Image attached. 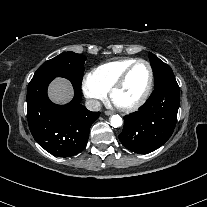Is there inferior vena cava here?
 <instances>
[{"label": "inferior vena cava", "instance_id": "1", "mask_svg": "<svg viewBox=\"0 0 207 207\" xmlns=\"http://www.w3.org/2000/svg\"><path fill=\"white\" fill-rule=\"evenodd\" d=\"M85 106L89 111H99L101 109V103L94 99L87 100Z\"/></svg>", "mask_w": 207, "mask_h": 207}]
</instances>
